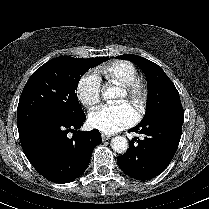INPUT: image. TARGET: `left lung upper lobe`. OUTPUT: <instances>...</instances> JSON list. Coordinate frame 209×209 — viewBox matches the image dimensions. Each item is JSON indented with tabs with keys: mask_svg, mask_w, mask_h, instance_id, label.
Segmentation results:
<instances>
[{
	"mask_svg": "<svg viewBox=\"0 0 209 209\" xmlns=\"http://www.w3.org/2000/svg\"><path fill=\"white\" fill-rule=\"evenodd\" d=\"M118 57L132 61L146 75L148 82L147 108L145 116L140 123L147 122L164 114L183 113L179 93L173 82L159 65L133 54Z\"/></svg>",
	"mask_w": 209,
	"mask_h": 209,
	"instance_id": "5c2ea615",
	"label": "left lung upper lobe"
}]
</instances>
